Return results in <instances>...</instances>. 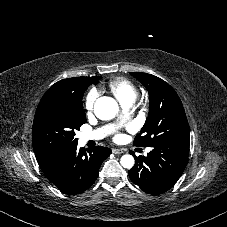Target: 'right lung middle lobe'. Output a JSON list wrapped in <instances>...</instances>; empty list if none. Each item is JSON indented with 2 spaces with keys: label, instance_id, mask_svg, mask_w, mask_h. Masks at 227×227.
I'll list each match as a JSON object with an SVG mask.
<instances>
[{
  "label": "right lung middle lobe",
  "instance_id": "right-lung-middle-lobe-1",
  "mask_svg": "<svg viewBox=\"0 0 227 227\" xmlns=\"http://www.w3.org/2000/svg\"><path fill=\"white\" fill-rule=\"evenodd\" d=\"M101 77H90L77 99L43 97L37 107L32 143L36 158L77 145L75 130L86 122L82 96L87 87Z\"/></svg>",
  "mask_w": 227,
  "mask_h": 227
}]
</instances>
